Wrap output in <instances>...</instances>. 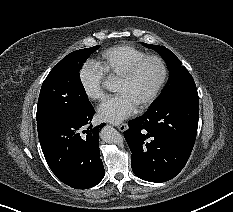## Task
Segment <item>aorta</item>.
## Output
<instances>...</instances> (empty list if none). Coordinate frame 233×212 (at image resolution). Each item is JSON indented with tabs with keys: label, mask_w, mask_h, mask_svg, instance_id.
I'll list each match as a JSON object with an SVG mask.
<instances>
[{
	"label": "aorta",
	"mask_w": 233,
	"mask_h": 212,
	"mask_svg": "<svg viewBox=\"0 0 233 212\" xmlns=\"http://www.w3.org/2000/svg\"><path fill=\"white\" fill-rule=\"evenodd\" d=\"M106 89H108L109 91L113 90V83L111 81H106L104 83ZM101 138L107 142V143H114V144H121L123 141V138L121 136V134L114 129L111 126H105L102 130H101Z\"/></svg>",
	"instance_id": "762f6f07"
}]
</instances>
